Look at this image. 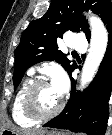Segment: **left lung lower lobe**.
I'll list each match as a JSON object with an SVG mask.
<instances>
[{"instance_id":"0a47b994","label":"left lung lower lobe","mask_w":112,"mask_h":135,"mask_svg":"<svg viewBox=\"0 0 112 135\" xmlns=\"http://www.w3.org/2000/svg\"><path fill=\"white\" fill-rule=\"evenodd\" d=\"M106 28L109 33L107 50L92 83L84 92L76 93L74 80L71 78L73 89L66 107L43 127L68 129L88 135L105 134L112 89V19ZM76 68L77 66L74 69Z\"/></svg>"}]
</instances>
